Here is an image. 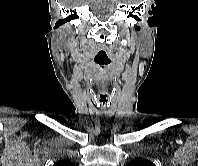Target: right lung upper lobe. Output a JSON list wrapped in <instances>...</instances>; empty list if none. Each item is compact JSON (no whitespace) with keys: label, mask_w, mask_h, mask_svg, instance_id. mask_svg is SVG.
Here are the masks:
<instances>
[{"label":"right lung upper lobe","mask_w":198,"mask_h":166,"mask_svg":"<svg viewBox=\"0 0 198 166\" xmlns=\"http://www.w3.org/2000/svg\"><path fill=\"white\" fill-rule=\"evenodd\" d=\"M53 166H74L72 163L66 160L59 161L55 163Z\"/></svg>","instance_id":"cb5924a9"}]
</instances>
